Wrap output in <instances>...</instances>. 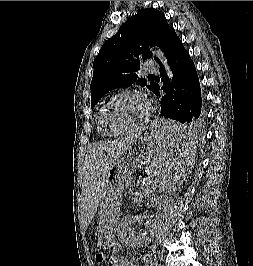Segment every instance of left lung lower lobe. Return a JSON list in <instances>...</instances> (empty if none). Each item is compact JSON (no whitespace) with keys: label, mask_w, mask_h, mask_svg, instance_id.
Instances as JSON below:
<instances>
[{"label":"left lung lower lobe","mask_w":253,"mask_h":266,"mask_svg":"<svg viewBox=\"0 0 253 266\" xmlns=\"http://www.w3.org/2000/svg\"><path fill=\"white\" fill-rule=\"evenodd\" d=\"M162 51L173 72V80H169L163 64L157 60L163 86L154 83L152 91L159 96L160 90L164 91L160 116L165 121L174 120L171 122L172 127L164 130V135L175 141L188 140L190 134L202 123L201 90L197 72L175 31L167 39Z\"/></svg>","instance_id":"left-lung-lower-lobe-1"}]
</instances>
